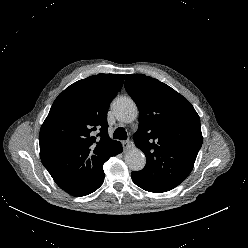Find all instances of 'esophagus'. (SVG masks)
I'll list each match as a JSON object with an SVG mask.
<instances>
[{
    "mask_svg": "<svg viewBox=\"0 0 248 248\" xmlns=\"http://www.w3.org/2000/svg\"><path fill=\"white\" fill-rule=\"evenodd\" d=\"M122 145H123L124 151H129V150H131L134 147L133 142L130 141V140L123 141L122 142Z\"/></svg>",
    "mask_w": 248,
    "mask_h": 248,
    "instance_id": "obj_1",
    "label": "esophagus"
}]
</instances>
